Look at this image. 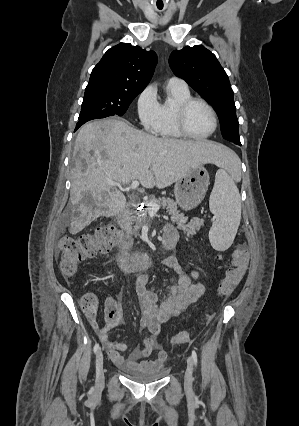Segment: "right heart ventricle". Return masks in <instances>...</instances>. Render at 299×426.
<instances>
[{
	"label": "right heart ventricle",
	"instance_id": "obj_1",
	"mask_svg": "<svg viewBox=\"0 0 299 426\" xmlns=\"http://www.w3.org/2000/svg\"><path fill=\"white\" fill-rule=\"evenodd\" d=\"M167 96L159 103V125L157 134L163 138L177 139L183 137L176 126L175 114L178 105L192 97L187 86L167 84Z\"/></svg>",
	"mask_w": 299,
	"mask_h": 426
}]
</instances>
